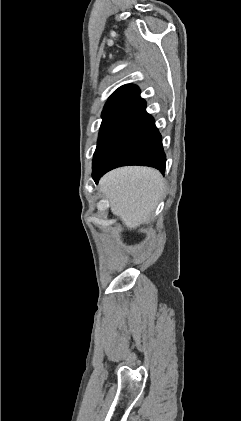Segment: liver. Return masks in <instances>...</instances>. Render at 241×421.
Returning a JSON list of instances; mask_svg holds the SVG:
<instances>
[{
	"label": "liver",
	"mask_w": 241,
	"mask_h": 421,
	"mask_svg": "<svg viewBox=\"0 0 241 421\" xmlns=\"http://www.w3.org/2000/svg\"><path fill=\"white\" fill-rule=\"evenodd\" d=\"M100 188L111 212L130 229L137 228L154 211L164 195L161 173L148 167H122L107 173Z\"/></svg>",
	"instance_id": "obj_1"
}]
</instances>
